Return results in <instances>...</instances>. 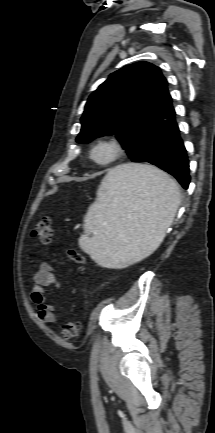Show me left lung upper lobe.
Listing matches in <instances>:
<instances>
[{"mask_svg": "<svg viewBox=\"0 0 215 433\" xmlns=\"http://www.w3.org/2000/svg\"><path fill=\"white\" fill-rule=\"evenodd\" d=\"M174 115L160 69L138 62L112 73L90 95L76 141L115 134L133 162L155 164Z\"/></svg>", "mask_w": 215, "mask_h": 433, "instance_id": "5c2ea615", "label": "left lung upper lobe"}]
</instances>
